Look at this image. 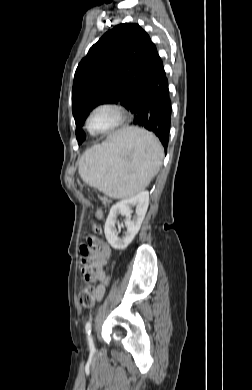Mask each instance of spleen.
<instances>
[{
    "instance_id": "spleen-1",
    "label": "spleen",
    "mask_w": 252,
    "mask_h": 390,
    "mask_svg": "<svg viewBox=\"0 0 252 390\" xmlns=\"http://www.w3.org/2000/svg\"><path fill=\"white\" fill-rule=\"evenodd\" d=\"M162 159V145L152 133L129 127L88 149L80 159L79 174L111 198H130L149 185Z\"/></svg>"
}]
</instances>
